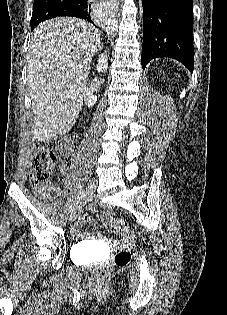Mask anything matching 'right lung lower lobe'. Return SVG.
I'll use <instances>...</instances> for the list:
<instances>
[{"label": "right lung lower lobe", "mask_w": 227, "mask_h": 315, "mask_svg": "<svg viewBox=\"0 0 227 315\" xmlns=\"http://www.w3.org/2000/svg\"><path fill=\"white\" fill-rule=\"evenodd\" d=\"M91 4L90 0H75L72 6L67 8H63L62 11L57 12V16H70L77 17L87 20L88 22L93 23L91 20L90 12H91Z\"/></svg>", "instance_id": "1"}]
</instances>
